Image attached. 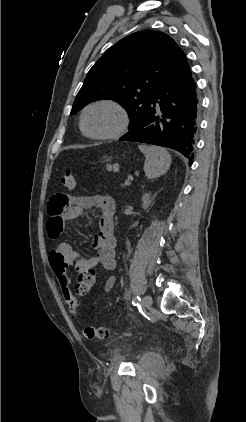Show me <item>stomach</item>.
<instances>
[{
  "mask_svg": "<svg viewBox=\"0 0 246 422\" xmlns=\"http://www.w3.org/2000/svg\"><path fill=\"white\" fill-rule=\"evenodd\" d=\"M110 160H111L110 158H107V159H106V161H110Z\"/></svg>",
  "mask_w": 246,
  "mask_h": 422,
  "instance_id": "1",
  "label": "stomach"
}]
</instances>
